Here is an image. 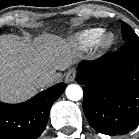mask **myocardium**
Returning a JSON list of instances; mask_svg holds the SVG:
<instances>
[{
    "instance_id": "f54148a6",
    "label": "myocardium",
    "mask_w": 139,
    "mask_h": 139,
    "mask_svg": "<svg viewBox=\"0 0 139 139\" xmlns=\"http://www.w3.org/2000/svg\"><path fill=\"white\" fill-rule=\"evenodd\" d=\"M117 37L111 31H104L96 42V46L100 50H109L116 43Z\"/></svg>"
}]
</instances>
